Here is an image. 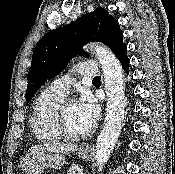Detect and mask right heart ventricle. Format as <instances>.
I'll return each mask as SVG.
<instances>
[{"label":"right heart ventricle","mask_w":175,"mask_h":174,"mask_svg":"<svg viewBox=\"0 0 175 174\" xmlns=\"http://www.w3.org/2000/svg\"><path fill=\"white\" fill-rule=\"evenodd\" d=\"M64 99L49 88L42 91L35 99L30 119L34 137L41 142H56L61 136L55 129L53 116L56 107Z\"/></svg>","instance_id":"e07e8e85"}]
</instances>
